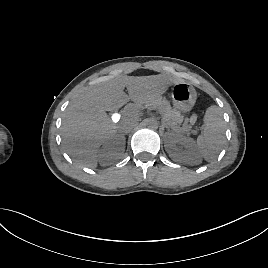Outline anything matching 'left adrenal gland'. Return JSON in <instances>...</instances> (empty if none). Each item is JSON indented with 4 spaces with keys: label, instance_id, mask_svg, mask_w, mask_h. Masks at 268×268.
Wrapping results in <instances>:
<instances>
[{
    "label": "left adrenal gland",
    "instance_id": "left-adrenal-gland-1",
    "mask_svg": "<svg viewBox=\"0 0 268 268\" xmlns=\"http://www.w3.org/2000/svg\"><path fill=\"white\" fill-rule=\"evenodd\" d=\"M166 127V129L169 131L170 129H169V127H167V126H165Z\"/></svg>",
    "mask_w": 268,
    "mask_h": 268
}]
</instances>
